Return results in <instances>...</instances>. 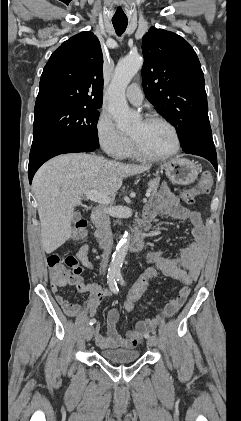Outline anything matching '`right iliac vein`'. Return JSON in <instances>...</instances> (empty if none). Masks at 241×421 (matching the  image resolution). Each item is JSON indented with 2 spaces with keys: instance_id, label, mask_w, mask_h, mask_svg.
I'll return each instance as SVG.
<instances>
[{
  "instance_id": "obj_1",
  "label": "right iliac vein",
  "mask_w": 241,
  "mask_h": 421,
  "mask_svg": "<svg viewBox=\"0 0 241 421\" xmlns=\"http://www.w3.org/2000/svg\"><path fill=\"white\" fill-rule=\"evenodd\" d=\"M93 334H94V327L93 326H88L86 328V331H85V339L87 341L91 340V338L93 337Z\"/></svg>"
}]
</instances>
